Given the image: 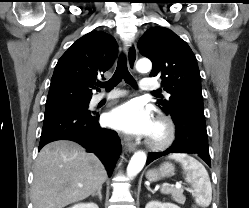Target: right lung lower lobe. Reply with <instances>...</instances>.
Masks as SVG:
<instances>
[{
  "mask_svg": "<svg viewBox=\"0 0 249 208\" xmlns=\"http://www.w3.org/2000/svg\"><path fill=\"white\" fill-rule=\"evenodd\" d=\"M99 115L75 104L46 107L39 144L56 140H72L94 153L104 164L109 176L121 150V141L111 129L101 128Z\"/></svg>",
  "mask_w": 249,
  "mask_h": 208,
  "instance_id": "1",
  "label": "right lung lower lobe"
}]
</instances>
